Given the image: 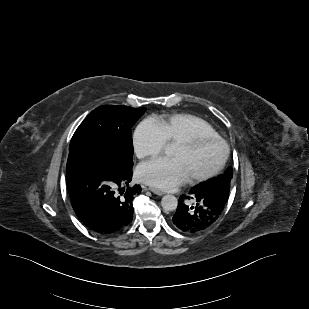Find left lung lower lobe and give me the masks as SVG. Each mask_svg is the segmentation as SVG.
<instances>
[{
	"mask_svg": "<svg viewBox=\"0 0 309 309\" xmlns=\"http://www.w3.org/2000/svg\"><path fill=\"white\" fill-rule=\"evenodd\" d=\"M229 195L209 192L199 186L191 188L189 196L182 195L172 221L181 232L197 234L211 227L221 216ZM193 200L196 204L186 203Z\"/></svg>",
	"mask_w": 309,
	"mask_h": 309,
	"instance_id": "1",
	"label": "left lung lower lobe"
}]
</instances>
